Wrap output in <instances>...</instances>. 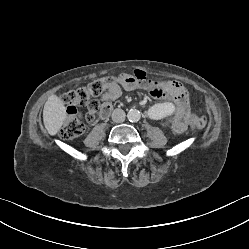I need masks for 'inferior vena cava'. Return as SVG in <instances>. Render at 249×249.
Here are the masks:
<instances>
[{
    "label": "inferior vena cava",
    "instance_id": "602c4592",
    "mask_svg": "<svg viewBox=\"0 0 249 249\" xmlns=\"http://www.w3.org/2000/svg\"><path fill=\"white\" fill-rule=\"evenodd\" d=\"M126 114L122 109H115L112 113V120L121 123L125 120Z\"/></svg>",
    "mask_w": 249,
    "mask_h": 249
}]
</instances>
